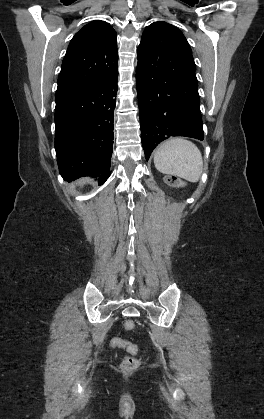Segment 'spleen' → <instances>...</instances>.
<instances>
[{
  "instance_id": "obj_1",
  "label": "spleen",
  "mask_w": 264,
  "mask_h": 419,
  "mask_svg": "<svg viewBox=\"0 0 264 419\" xmlns=\"http://www.w3.org/2000/svg\"><path fill=\"white\" fill-rule=\"evenodd\" d=\"M156 169L189 182H197L202 174L203 160L198 147L184 138H170L154 154Z\"/></svg>"
}]
</instances>
